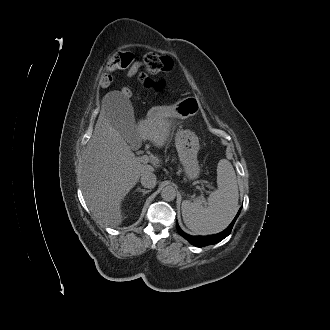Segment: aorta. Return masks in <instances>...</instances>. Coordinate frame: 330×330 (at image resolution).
Masks as SVG:
<instances>
[{"mask_svg":"<svg viewBox=\"0 0 330 330\" xmlns=\"http://www.w3.org/2000/svg\"><path fill=\"white\" fill-rule=\"evenodd\" d=\"M161 197L165 201H173L176 197V189L172 185L165 186L161 191Z\"/></svg>","mask_w":330,"mask_h":330,"instance_id":"aorta-1","label":"aorta"}]
</instances>
